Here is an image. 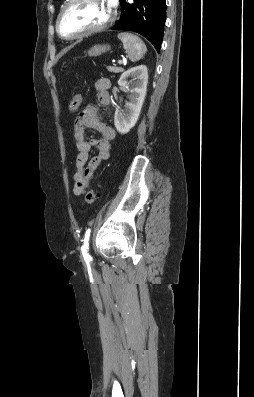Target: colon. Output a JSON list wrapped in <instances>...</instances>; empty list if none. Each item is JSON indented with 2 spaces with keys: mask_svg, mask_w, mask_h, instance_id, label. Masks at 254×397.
I'll return each instance as SVG.
<instances>
[{
  "mask_svg": "<svg viewBox=\"0 0 254 397\" xmlns=\"http://www.w3.org/2000/svg\"><path fill=\"white\" fill-rule=\"evenodd\" d=\"M82 94H75L68 103V110L74 112L79 109L82 104ZM99 193L96 189H90L86 194V202L88 204H93L98 199Z\"/></svg>",
  "mask_w": 254,
  "mask_h": 397,
  "instance_id": "colon-1",
  "label": "colon"
}]
</instances>
